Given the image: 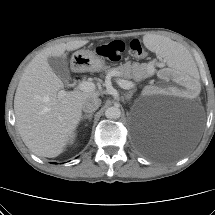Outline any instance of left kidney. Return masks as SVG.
<instances>
[{
  "label": "left kidney",
  "instance_id": "1",
  "mask_svg": "<svg viewBox=\"0 0 215 215\" xmlns=\"http://www.w3.org/2000/svg\"><path fill=\"white\" fill-rule=\"evenodd\" d=\"M160 88L167 94L194 97L199 92L197 82L177 70L164 69L160 73Z\"/></svg>",
  "mask_w": 215,
  "mask_h": 215
}]
</instances>
